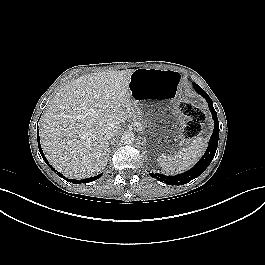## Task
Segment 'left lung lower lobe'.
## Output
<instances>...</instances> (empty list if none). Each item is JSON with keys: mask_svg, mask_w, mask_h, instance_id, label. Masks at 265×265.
<instances>
[{"mask_svg": "<svg viewBox=\"0 0 265 265\" xmlns=\"http://www.w3.org/2000/svg\"><path fill=\"white\" fill-rule=\"evenodd\" d=\"M194 89L196 90L197 93H199L201 96H203L206 101L208 102V107L212 113V117L215 121V127L213 130V134L211 135L210 141H209V146L203 155V157L200 159V161L190 170L178 174L176 176H166L163 174H158V173H150V175L153 178H156L157 180L164 182L168 185H184L188 182H190L192 179L200 176L202 172L209 166L211 163L212 159L214 158L217 146H218V138H219V122L217 118V113L213 108V102L211 98L208 96V94L197 84H193Z\"/></svg>", "mask_w": 265, "mask_h": 265, "instance_id": "obj_1", "label": "left lung lower lobe"}]
</instances>
